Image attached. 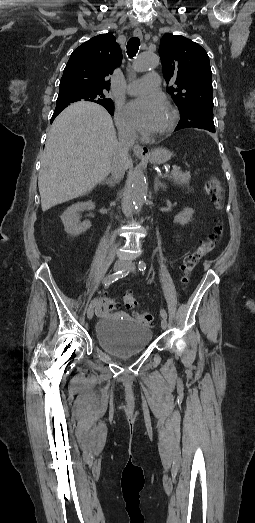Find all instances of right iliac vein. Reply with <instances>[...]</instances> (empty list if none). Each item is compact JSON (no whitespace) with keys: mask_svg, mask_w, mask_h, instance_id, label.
<instances>
[{"mask_svg":"<svg viewBox=\"0 0 255 523\" xmlns=\"http://www.w3.org/2000/svg\"><path fill=\"white\" fill-rule=\"evenodd\" d=\"M125 266H126V262L119 259L114 264V271H119V270L123 269ZM93 315H94V306H89V308L87 310L88 319H92Z\"/></svg>","mask_w":255,"mask_h":523,"instance_id":"right-iliac-vein-1","label":"right iliac vein"}]
</instances>
